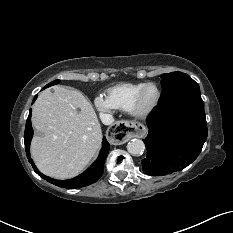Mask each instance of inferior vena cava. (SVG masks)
<instances>
[{
  "instance_id": "602c4592",
  "label": "inferior vena cava",
  "mask_w": 233,
  "mask_h": 233,
  "mask_svg": "<svg viewBox=\"0 0 233 233\" xmlns=\"http://www.w3.org/2000/svg\"><path fill=\"white\" fill-rule=\"evenodd\" d=\"M100 119L105 125H110L114 122V117L111 114L101 113Z\"/></svg>"
}]
</instances>
